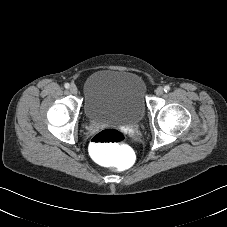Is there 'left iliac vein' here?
Segmentation results:
<instances>
[{"label":"left iliac vein","instance_id":"obj_1","mask_svg":"<svg viewBox=\"0 0 227 227\" xmlns=\"http://www.w3.org/2000/svg\"><path fill=\"white\" fill-rule=\"evenodd\" d=\"M155 92L156 95L161 96L164 93V89L162 87H158Z\"/></svg>","mask_w":227,"mask_h":227}]
</instances>
